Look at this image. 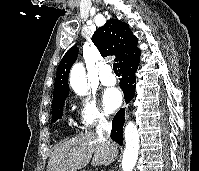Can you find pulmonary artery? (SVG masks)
<instances>
[{"instance_id":"pulmonary-artery-1","label":"pulmonary artery","mask_w":199,"mask_h":171,"mask_svg":"<svg viewBox=\"0 0 199 171\" xmlns=\"http://www.w3.org/2000/svg\"><path fill=\"white\" fill-rule=\"evenodd\" d=\"M100 82L105 86H111L116 83V77L112 73L110 65H104L100 69Z\"/></svg>"}]
</instances>
